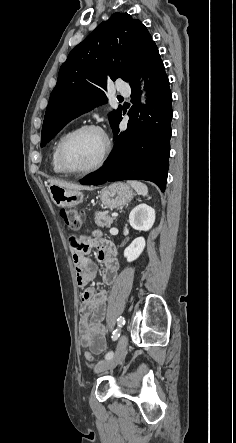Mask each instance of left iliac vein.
Masks as SVG:
<instances>
[{
    "label": "left iliac vein",
    "instance_id": "1",
    "mask_svg": "<svg viewBox=\"0 0 236 443\" xmlns=\"http://www.w3.org/2000/svg\"><path fill=\"white\" fill-rule=\"evenodd\" d=\"M127 346V337L125 335H122L119 338L116 351L112 358L106 359L104 361H100L95 365V371L96 372H102L109 369L115 368L123 359L126 351Z\"/></svg>",
    "mask_w": 236,
    "mask_h": 443
}]
</instances>
